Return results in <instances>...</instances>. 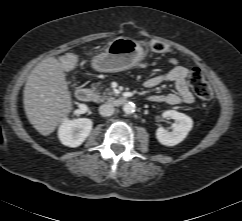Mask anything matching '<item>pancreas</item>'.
I'll use <instances>...</instances> for the list:
<instances>
[{
	"mask_svg": "<svg viewBox=\"0 0 242 221\" xmlns=\"http://www.w3.org/2000/svg\"><path fill=\"white\" fill-rule=\"evenodd\" d=\"M93 89H94V88H93ZM107 91H109V89H107ZM108 95L112 96V95H114V93H113V92H109ZM105 99H107V100H109V101H112V100H113L112 97H108V96H106V93H105V92L103 93V95H100V93L97 92L96 97H95V101H96V102H101V101H103V100H105Z\"/></svg>",
	"mask_w": 242,
	"mask_h": 221,
	"instance_id": "pancreas-1",
	"label": "pancreas"
}]
</instances>
